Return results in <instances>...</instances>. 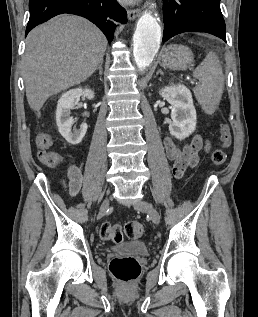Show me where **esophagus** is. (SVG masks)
Segmentation results:
<instances>
[{"instance_id": "esophagus-1", "label": "esophagus", "mask_w": 258, "mask_h": 317, "mask_svg": "<svg viewBox=\"0 0 258 317\" xmlns=\"http://www.w3.org/2000/svg\"><path fill=\"white\" fill-rule=\"evenodd\" d=\"M128 14V18L130 20H134L136 17L140 16L141 14V9L137 8V9H128L127 11Z\"/></svg>"}]
</instances>
